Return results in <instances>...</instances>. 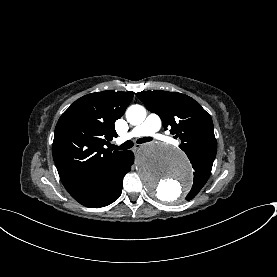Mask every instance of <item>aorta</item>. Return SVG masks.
Returning a JSON list of instances; mask_svg holds the SVG:
<instances>
[{
  "instance_id": "1",
  "label": "aorta",
  "mask_w": 277,
  "mask_h": 277,
  "mask_svg": "<svg viewBox=\"0 0 277 277\" xmlns=\"http://www.w3.org/2000/svg\"><path fill=\"white\" fill-rule=\"evenodd\" d=\"M132 125L143 123L146 110L132 105L126 113ZM138 176L148 194L161 202L173 203L188 192L193 178L186 155L164 143H149L142 147L136 160Z\"/></svg>"
}]
</instances>
